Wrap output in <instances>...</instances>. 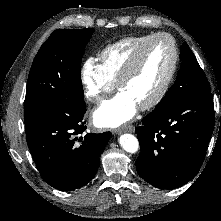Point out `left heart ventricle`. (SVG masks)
Wrapping results in <instances>:
<instances>
[{"mask_svg": "<svg viewBox=\"0 0 221 221\" xmlns=\"http://www.w3.org/2000/svg\"><path fill=\"white\" fill-rule=\"evenodd\" d=\"M172 44L159 38L145 50L136 74L127 81L120 92L127 94L138 107L150 100L165 80L172 62Z\"/></svg>", "mask_w": 221, "mask_h": 221, "instance_id": "b2bd125f", "label": "left heart ventricle"}]
</instances>
